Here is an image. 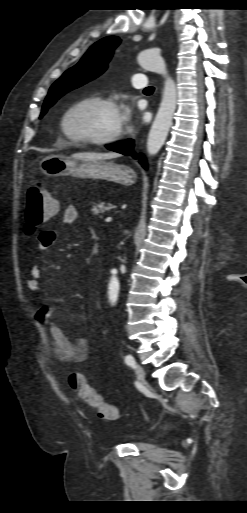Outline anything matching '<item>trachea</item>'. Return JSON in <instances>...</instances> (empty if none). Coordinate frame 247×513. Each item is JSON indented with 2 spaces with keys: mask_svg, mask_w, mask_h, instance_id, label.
Listing matches in <instances>:
<instances>
[{
  "mask_svg": "<svg viewBox=\"0 0 247 513\" xmlns=\"http://www.w3.org/2000/svg\"><path fill=\"white\" fill-rule=\"evenodd\" d=\"M153 91H154V87H151V86H150V87H147V88H145V89H144V92H145V93H152ZM246 278H247V277H245V279H246Z\"/></svg>",
  "mask_w": 247,
  "mask_h": 513,
  "instance_id": "3493384b",
  "label": "trachea"
}]
</instances>
